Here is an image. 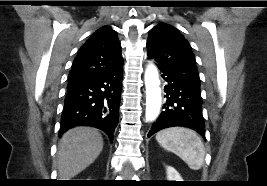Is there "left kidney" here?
Listing matches in <instances>:
<instances>
[{
    "label": "left kidney",
    "instance_id": "obj_1",
    "mask_svg": "<svg viewBox=\"0 0 267 186\" xmlns=\"http://www.w3.org/2000/svg\"><path fill=\"white\" fill-rule=\"evenodd\" d=\"M167 179L168 181H182L180 174L173 167H167Z\"/></svg>",
    "mask_w": 267,
    "mask_h": 186
}]
</instances>
